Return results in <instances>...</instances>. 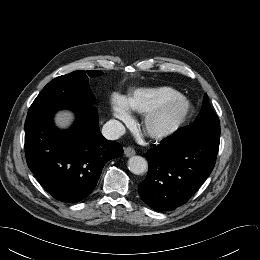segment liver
<instances>
[{"label":"liver","instance_id":"obj_1","mask_svg":"<svg viewBox=\"0 0 260 260\" xmlns=\"http://www.w3.org/2000/svg\"><path fill=\"white\" fill-rule=\"evenodd\" d=\"M55 122L61 129L68 128L72 123V118L67 112H59L56 116Z\"/></svg>","mask_w":260,"mask_h":260}]
</instances>
